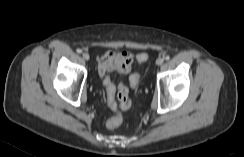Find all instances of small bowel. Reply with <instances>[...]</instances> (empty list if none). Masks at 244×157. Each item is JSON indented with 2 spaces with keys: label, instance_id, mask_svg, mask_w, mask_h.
<instances>
[{
  "label": "small bowel",
  "instance_id": "1",
  "mask_svg": "<svg viewBox=\"0 0 244 157\" xmlns=\"http://www.w3.org/2000/svg\"><path fill=\"white\" fill-rule=\"evenodd\" d=\"M135 60V55L129 51L108 50L97 59L98 73L104 77L107 72H116L120 75H127Z\"/></svg>",
  "mask_w": 244,
  "mask_h": 157
}]
</instances>
